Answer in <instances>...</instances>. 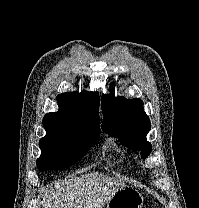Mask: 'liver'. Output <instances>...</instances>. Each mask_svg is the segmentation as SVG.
I'll use <instances>...</instances> for the list:
<instances>
[{
    "label": "liver",
    "mask_w": 199,
    "mask_h": 208,
    "mask_svg": "<svg viewBox=\"0 0 199 208\" xmlns=\"http://www.w3.org/2000/svg\"><path fill=\"white\" fill-rule=\"evenodd\" d=\"M124 182L94 172L57 182L45 190L44 208H103L122 188Z\"/></svg>",
    "instance_id": "liver-1"
}]
</instances>
